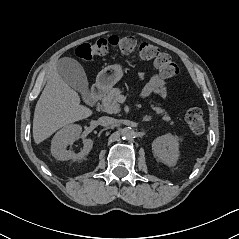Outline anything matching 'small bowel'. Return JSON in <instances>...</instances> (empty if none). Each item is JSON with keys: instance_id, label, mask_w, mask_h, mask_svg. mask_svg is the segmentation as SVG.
I'll return each instance as SVG.
<instances>
[{"instance_id": "1", "label": "small bowel", "mask_w": 239, "mask_h": 239, "mask_svg": "<svg viewBox=\"0 0 239 239\" xmlns=\"http://www.w3.org/2000/svg\"><path fill=\"white\" fill-rule=\"evenodd\" d=\"M145 74L141 73L140 77L144 78ZM168 93V86L166 81L159 75H152L142 90V97L147 98L152 95L165 98Z\"/></svg>"}]
</instances>
